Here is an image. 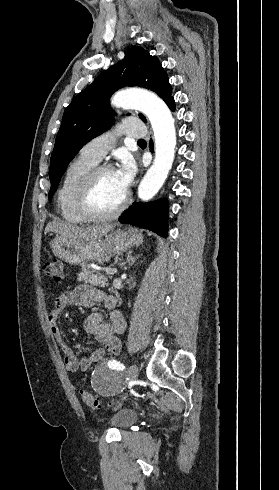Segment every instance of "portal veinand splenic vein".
<instances>
[{
    "instance_id": "obj_1",
    "label": "portal vein and splenic vein",
    "mask_w": 279,
    "mask_h": 490,
    "mask_svg": "<svg viewBox=\"0 0 279 490\" xmlns=\"http://www.w3.org/2000/svg\"><path fill=\"white\" fill-rule=\"evenodd\" d=\"M105 272L106 274H116L117 270H114V268H106Z\"/></svg>"
}]
</instances>
